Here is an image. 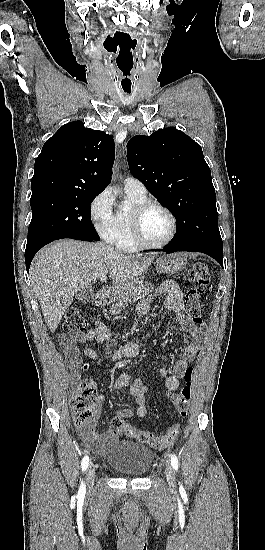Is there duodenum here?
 Segmentation results:
<instances>
[{"instance_id":"obj_1","label":"duodenum","mask_w":265,"mask_h":550,"mask_svg":"<svg viewBox=\"0 0 265 550\" xmlns=\"http://www.w3.org/2000/svg\"><path fill=\"white\" fill-rule=\"evenodd\" d=\"M109 299V293L106 291H98V293L95 296L94 302L96 306H102L104 305L107 300Z\"/></svg>"}]
</instances>
